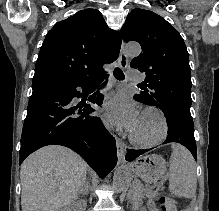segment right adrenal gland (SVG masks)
Listing matches in <instances>:
<instances>
[{"label":"right adrenal gland","instance_id":"obj_1","mask_svg":"<svg viewBox=\"0 0 219 211\" xmlns=\"http://www.w3.org/2000/svg\"><path fill=\"white\" fill-rule=\"evenodd\" d=\"M79 193H82V195H84L83 191H78L77 195H79Z\"/></svg>","mask_w":219,"mask_h":211}]
</instances>
